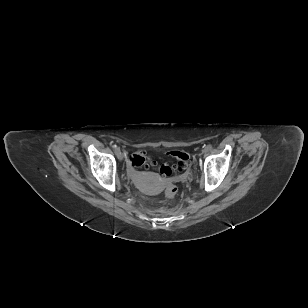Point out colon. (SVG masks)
<instances>
[{"mask_svg":"<svg viewBox=\"0 0 308 308\" xmlns=\"http://www.w3.org/2000/svg\"><path fill=\"white\" fill-rule=\"evenodd\" d=\"M169 154L174 157L175 159H177L178 164L177 166L174 167V169L176 170H183L187 167L188 165V161H189V156L182 152V151H171L169 152ZM131 163L132 165H135L137 167H142V166H146L148 165V158L145 156V154L143 152H138L135 153L132 157H131ZM172 171V168L167 166V165H163L161 167V172L165 175H169ZM178 192V188L174 183H169L166 186L165 189V195L167 198H174L176 196Z\"/></svg>","mask_w":308,"mask_h":308,"instance_id":"5ec220e1","label":"colon"}]
</instances>
